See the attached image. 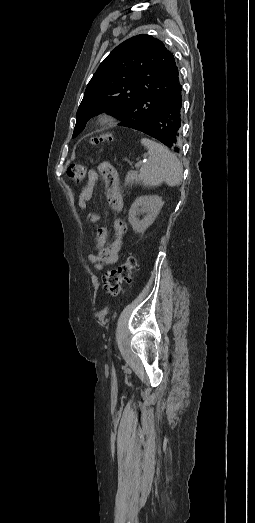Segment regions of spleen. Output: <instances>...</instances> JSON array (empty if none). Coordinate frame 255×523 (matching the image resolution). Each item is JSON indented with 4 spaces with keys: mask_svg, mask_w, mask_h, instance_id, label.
I'll use <instances>...</instances> for the list:
<instances>
[{
    "mask_svg": "<svg viewBox=\"0 0 255 523\" xmlns=\"http://www.w3.org/2000/svg\"><path fill=\"white\" fill-rule=\"evenodd\" d=\"M142 146L148 150L149 158L143 162L139 178L142 186H160L166 182L168 186H178L181 182L183 166L177 156L167 150L166 146L142 138Z\"/></svg>",
    "mask_w": 255,
    "mask_h": 523,
    "instance_id": "3e777b00",
    "label": "spleen"
}]
</instances>
